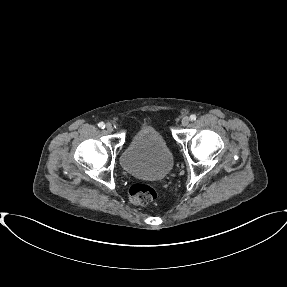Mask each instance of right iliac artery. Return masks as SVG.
I'll use <instances>...</instances> for the list:
<instances>
[{"instance_id":"1","label":"right iliac artery","mask_w":287,"mask_h":287,"mask_svg":"<svg viewBox=\"0 0 287 287\" xmlns=\"http://www.w3.org/2000/svg\"><path fill=\"white\" fill-rule=\"evenodd\" d=\"M98 126H99V128H101V129H104V128H105V124H104L103 122H100V123L98 124Z\"/></svg>"}]
</instances>
